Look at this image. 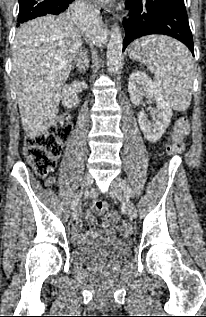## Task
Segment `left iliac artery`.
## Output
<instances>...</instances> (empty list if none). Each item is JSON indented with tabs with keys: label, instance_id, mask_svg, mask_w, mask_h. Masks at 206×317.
Masks as SVG:
<instances>
[{
	"label": "left iliac artery",
	"instance_id": "44dca946",
	"mask_svg": "<svg viewBox=\"0 0 206 317\" xmlns=\"http://www.w3.org/2000/svg\"><path fill=\"white\" fill-rule=\"evenodd\" d=\"M120 186L122 188V190L124 191L125 195H127L128 197H134V192L133 190L130 188V186L125 182V181H120Z\"/></svg>",
	"mask_w": 206,
	"mask_h": 317
}]
</instances>
